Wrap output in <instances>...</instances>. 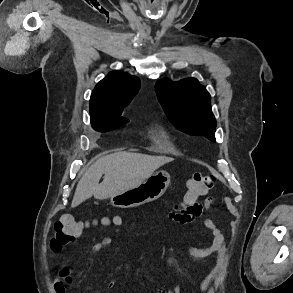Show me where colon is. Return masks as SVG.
<instances>
[{
	"instance_id": "obj_1",
	"label": "colon",
	"mask_w": 293,
	"mask_h": 293,
	"mask_svg": "<svg viewBox=\"0 0 293 293\" xmlns=\"http://www.w3.org/2000/svg\"><path fill=\"white\" fill-rule=\"evenodd\" d=\"M215 176L212 174L195 173L186 183V190L182 202L185 209H190L197 204L202 196L208 193L215 184ZM119 222V219H114ZM87 228V223L76 219L74 216L64 214L54 223V236L50 247L53 251H60L71 244Z\"/></svg>"
}]
</instances>
